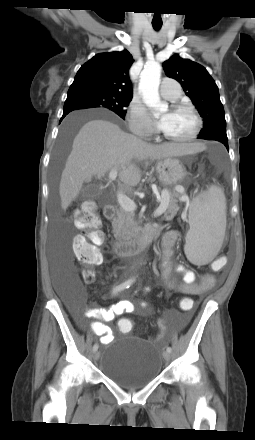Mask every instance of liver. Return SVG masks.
<instances>
[{
    "label": "liver",
    "instance_id": "obj_1",
    "mask_svg": "<svg viewBox=\"0 0 255 440\" xmlns=\"http://www.w3.org/2000/svg\"><path fill=\"white\" fill-rule=\"evenodd\" d=\"M202 143L152 145L125 133L110 121L93 119L85 123L73 140L72 150L61 175L59 194L66 210L78 196L83 183L101 178L114 167L127 186H136L141 171L135 162L160 160L202 151Z\"/></svg>",
    "mask_w": 255,
    "mask_h": 440
}]
</instances>
